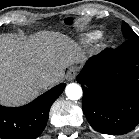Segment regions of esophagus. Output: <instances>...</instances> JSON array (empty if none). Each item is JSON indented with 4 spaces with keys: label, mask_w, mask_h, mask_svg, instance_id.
Listing matches in <instances>:
<instances>
[{
    "label": "esophagus",
    "mask_w": 139,
    "mask_h": 139,
    "mask_svg": "<svg viewBox=\"0 0 139 139\" xmlns=\"http://www.w3.org/2000/svg\"><path fill=\"white\" fill-rule=\"evenodd\" d=\"M77 73H78V68L77 67H75V66L70 67L67 71V74H66L67 80H69V81L74 80Z\"/></svg>",
    "instance_id": "obj_1"
}]
</instances>
